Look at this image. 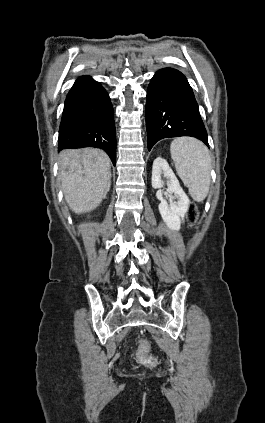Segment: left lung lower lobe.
<instances>
[{
  "label": "left lung lower lobe",
  "instance_id": "1",
  "mask_svg": "<svg viewBox=\"0 0 265 423\" xmlns=\"http://www.w3.org/2000/svg\"><path fill=\"white\" fill-rule=\"evenodd\" d=\"M145 112L149 151L168 137L191 136L209 146L192 88L178 70L156 72L148 87Z\"/></svg>",
  "mask_w": 265,
  "mask_h": 423
}]
</instances>
